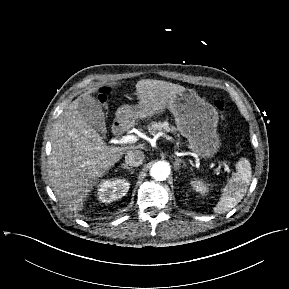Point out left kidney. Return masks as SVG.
Instances as JSON below:
<instances>
[{
    "label": "left kidney",
    "mask_w": 289,
    "mask_h": 289,
    "mask_svg": "<svg viewBox=\"0 0 289 289\" xmlns=\"http://www.w3.org/2000/svg\"><path fill=\"white\" fill-rule=\"evenodd\" d=\"M191 185L194 190L201 193L202 195L208 192V187L202 180L194 179L191 181Z\"/></svg>",
    "instance_id": "obj_1"
}]
</instances>
